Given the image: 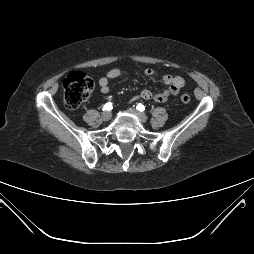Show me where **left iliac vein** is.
I'll return each instance as SVG.
<instances>
[{"label": "left iliac vein", "mask_w": 254, "mask_h": 254, "mask_svg": "<svg viewBox=\"0 0 254 254\" xmlns=\"http://www.w3.org/2000/svg\"><path fill=\"white\" fill-rule=\"evenodd\" d=\"M129 111L132 112L133 114H135L142 122L147 121V116L144 113L139 112L134 108H129Z\"/></svg>", "instance_id": "obj_1"}]
</instances>
